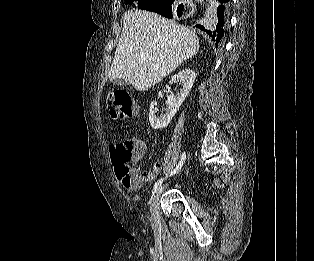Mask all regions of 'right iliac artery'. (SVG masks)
<instances>
[{
    "instance_id": "obj_1",
    "label": "right iliac artery",
    "mask_w": 314,
    "mask_h": 261,
    "mask_svg": "<svg viewBox=\"0 0 314 261\" xmlns=\"http://www.w3.org/2000/svg\"><path fill=\"white\" fill-rule=\"evenodd\" d=\"M185 159H186V154H185V152H183L182 155H181V159H180L178 165L175 167V169H174L173 171L170 172L169 176H171V175H173V174H176V173L181 169V167L183 166V164H184V162H185ZM167 177H168V175H166L165 178H167ZM165 178H161V179H159V180L155 183L154 188H153V190H152L153 195H154L155 192L158 190V188L161 186V184H162V182L164 181Z\"/></svg>"
}]
</instances>
